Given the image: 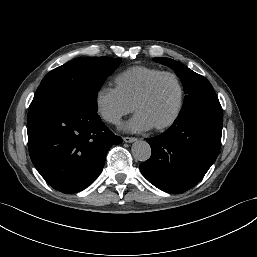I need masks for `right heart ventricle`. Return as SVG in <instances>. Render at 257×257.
Instances as JSON below:
<instances>
[{
    "instance_id": "obj_1",
    "label": "right heart ventricle",
    "mask_w": 257,
    "mask_h": 257,
    "mask_svg": "<svg viewBox=\"0 0 257 257\" xmlns=\"http://www.w3.org/2000/svg\"><path fill=\"white\" fill-rule=\"evenodd\" d=\"M161 72L163 71L160 69L145 66L129 68L115 78L116 88L133 104L147 83Z\"/></svg>"
}]
</instances>
